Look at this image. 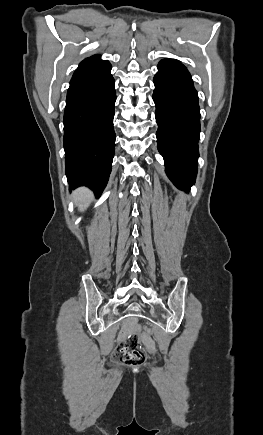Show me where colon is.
Returning <instances> with one entry per match:
<instances>
[{
    "label": "colon",
    "instance_id": "1",
    "mask_svg": "<svg viewBox=\"0 0 263 435\" xmlns=\"http://www.w3.org/2000/svg\"><path fill=\"white\" fill-rule=\"evenodd\" d=\"M142 330L147 335H153L154 331L145 324L141 325ZM113 360L125 365H140L145 360V354L139 345L138 336L132 334L127 336L115 349Z\"/></svg>",
    "mask_w": 263,
    "mask_h": 435
}]
</instances>
